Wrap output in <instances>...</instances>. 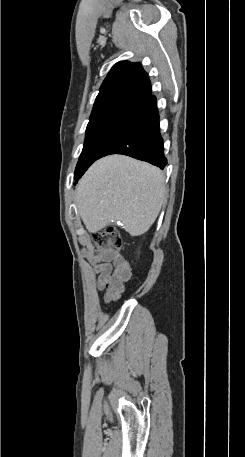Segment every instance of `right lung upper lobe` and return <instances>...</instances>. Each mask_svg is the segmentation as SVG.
<instances>
[{
	"label": "right lung upper lobe",
	"mask_w": 245,
	"mask_h": 457,
	"mask_svg": "<svg viewBox=\"0 0 245 457\" xmlns=\"http://www.w3.org/2000/svg\"><path fill=\"white\" fill-rule=\"evenodd\" d=\"M150 95L151 83L141 64L119 62L102 83L92 113L130 111Z\"/></svg>",
	"instance_id": "cb5924a9"
}]
</instances>
